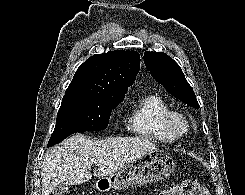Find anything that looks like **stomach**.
<instances>
[{
	"instance_id": "stomach-1",
	"label": "stomach",
	"mask_w": 245,
	"mask_h": 195,
	"mask_svg": "<svg viewBox=\"0 0 245 195\" xmlns=\"http://www.w3.org/2000/svg\"><path fill=\"white\" fill-rule=\"evenodd\" d=\"M175 162L163 151L146 153L128 163L109 177L97 181L98 189H128L137 185L161 181L174 170Z\"/></svg>"
}]
</instances>
